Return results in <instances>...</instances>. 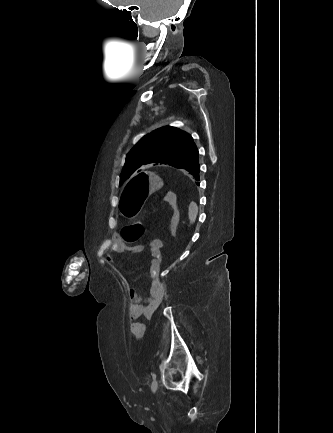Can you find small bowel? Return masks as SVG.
I'll use <instances>...</instances> for the list:
<instances>
[{
  "instance_id": "obj_1",
  "label": "small bowel",
  "mask_w": 333,
  "mask_h": 433,
  "mask_svg": "<svg viewBox=\"0 0 333 433\" xmlns=\"http://www.w3.org/2000/svg\"><path fill=\"white\" fill-rule=\"evenodd\" d=\"M149 248L151 252L150 271L153 276L149 292L146 296H143L136 288H131L129 291L128 317L132 321L130 331L135 338H141L145 333V324L139 321V319H151L160 306L166 292L165 283L159 277L164 255V243L160 239H153L149 243ZM143 249L142 245L124 246L120 243H113L108 251V260L113 261L115 256L124 250L139 253Z\"/></svg>"
}]
</instances>
